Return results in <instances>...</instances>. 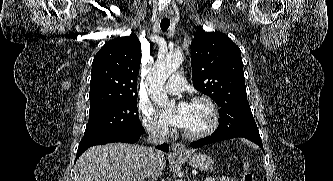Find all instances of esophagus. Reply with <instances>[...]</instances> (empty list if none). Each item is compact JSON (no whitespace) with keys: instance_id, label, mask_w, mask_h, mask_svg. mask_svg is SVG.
<instances>
[{"instance_id":"34e87169","label":"esophagus","mask_w":333,"mask_h":181,"mask_svg":"<svg viewBox=\"0 0 333 181\" xmlns=\"http://www.w3.org/2000/svg\"><path fill=\"white\" fill-rule=\"evenodd\" d=\"M172 152L176 155H185L187 150L185 146L181 143H172L171 144Z\"/></svg>"}]
</instances>
